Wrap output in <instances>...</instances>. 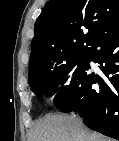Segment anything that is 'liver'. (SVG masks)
<instances>
[{
	"mask_svg": "<svg viewBox=\"0 0 119 141\" xmlns=\"http://www.w3.org/2000/svg\"><path fill=\"white\" fill-rule=\"evenodd\" d=\"M29 141H111L88 130L74 115H47L36 123Z\"/></svg>",
	"mask_w": 119,
	"mask_h": 141,
	"instance_id": "6515ba94",
	"label": "liver"
}]
</instances>
